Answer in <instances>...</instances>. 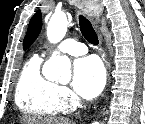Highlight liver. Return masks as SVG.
Instances as JSON below:
<instances>
[{
    "instance_id": "1",
    "label": "liver",
    "mask_w": 145,
    "mask_h": 124,
    "mask_svg": "<svg viewBox=\"0 0 145 124\" xmlns=\"http://www.w3.org/2000/svg\"><path fill=\"white\" fill-rule=\"evenodd\" d=\"M21 124H72L65 118L23 116Z\"/></svg>"
}]
</instances>
